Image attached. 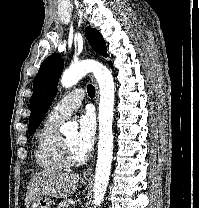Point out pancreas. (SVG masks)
<instances>
[{
    "label": "pancreas",
    "instance_id": "pancreas-1",
    "mask_svg": "<svg viewBox=\"0 0 199 208\" xmlns=\"http://www.w3.org/2000/svg\"><path fill=\"white\" fill-rule=\"evenodd\" d=\"M71 200L70 199H65L64 201H62L61 203H59V205L57 206V208H68L70 205Z\"/></svg>",
    "mask_w": 199,
    "mask_h": 208
}]
</instances>
